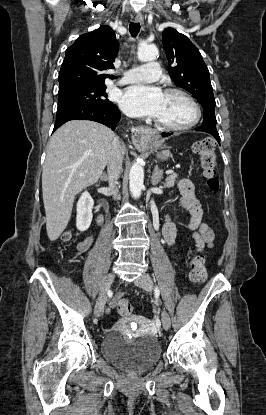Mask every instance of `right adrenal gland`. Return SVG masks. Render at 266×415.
I'll return each instance as SVG.
<instances>
[{
  "mask_svg": "<svg viewBox=\"0 0 266 415\" xmlns=\"http://www.w3.org/2000/svg\"><path fill=\"white\" fill-rule=\"evenodd\" d=\"M100 179H101L102 181H107V180H108V176H107L105 173H103V174L101 175Z\"/></svg>",
  "mask_w": 266,
  "mask_h": 415,
  "instance_id": "2a0ac1e0",
  "label": "right adrenal gland"
}]
</instances>
